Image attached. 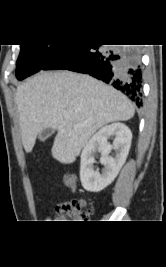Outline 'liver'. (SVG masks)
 I'll return each mask as SVG.
<instances>
[{
  "mask_svg": "<svg viewBox=\"0 0 166 267\" xmlns=\"http://www.w3.org/2000/svg\"><path fill=\"white\" fill-rule=\"evenodd\" d=\"M16 103L25 151L30 153L37 135L50 127L57 130L52 156L63 164L73 163L99 128L135 113L113 87L69 71L40 72L28 79L18 86Z\"/></svg>",
  "mask_w": 166,
  "mask_h": 267,
  "instance_id": "6515ba94",
  "label": "liver"
}]
</instances>
